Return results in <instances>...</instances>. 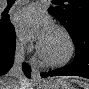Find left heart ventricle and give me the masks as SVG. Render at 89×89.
Segmentation results:
<instances>
[{
    "label": "left heart ventricle",
    "instance_id": "b2bd125f",
    "mask_svg": "<svg viewBox=\"0 0 89 89\" xmlns=\"http://www.w3.org/2000/svg\"><path fill=\"white\" fill-rule=\"evenodd\" d=\"M45 55L51 60L62 59L67 53V42L64 36L53 29L48 38L41 43Z\"/></svg>",
    "mask_w": 89,
    "mask_h": 89
}]
</instances>
